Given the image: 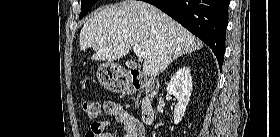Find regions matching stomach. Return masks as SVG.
<instances>
[{"label":"stomach","instance_id":"0dacf381","mask_svg":"<svg viewBox=\"0 0 280 137\" xmlns=\"http://www.w3.org/2000/svg\"><path fill=\"white\" fill-rule=\"evenodd\" d=\"M118 75L115 65L111 63L101 64L97 71V77L105 88L112 91H124L123 88L118 87Z\"/></svg>","mask_w":280,"mask_h":137}]
</instances>
